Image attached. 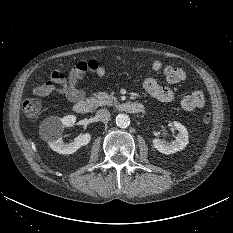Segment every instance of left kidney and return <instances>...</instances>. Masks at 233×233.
Listing matches in <instances>:
<instances>
[{"instance_id":"5707ae66","label":"left kidney","mask_w":233,"mask_h":233,"mask_svg":"<svg viewBox=\"0 0 233 233\" xmlns=\"http://www.w3.org/2000/svg\"><path fill=\"white\" fill-rule=\"evenodd\" d=\"M173 125L179 132L175 140L170 143L157 138L153 140V146L160 153L166 155L176 153L183 150L189 143V136L186 127L177 121H174Z\"/></svg>"}]
</instances>
